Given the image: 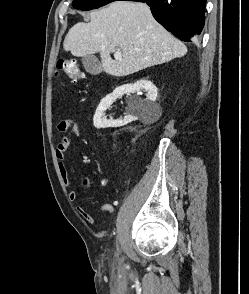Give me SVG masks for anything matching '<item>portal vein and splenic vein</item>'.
Listing matches in <instances>:
<instances>
[{
  "mask_svg": "<svg viewBox=\"0 0 249 294\" xmlns=\"http://www.w3.org/2000/svg\"><path fill=\"white\" fill-rule=\"evenodd\" d=\"M113 52H114V58L116 60H121L122 59V53H121V51L119 49H115V50H113Z\"/></svg>",
  "mask_w": 249,
  "mask_h": 294,
  "instance_id": "1",
  "label": "portal vein and splenic vein"
}]
</instances>
